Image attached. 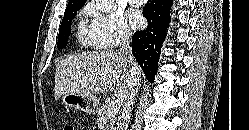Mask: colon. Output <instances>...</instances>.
Segmentation results:
<instances>
[{
    "instance_id": "1",
    "label": "colon",
    "mask_w": 249,
    "mask_h": 130,
    "mask_svg": "<svg viewBox=\"0 0 249 130\" xmlns=\"http://www.w3.org/2000/svg\"><path fill=\"white\" fill-rule=\"evenodd\" d=\"M63 130H76V126L73 123H67L63 127Z\"/></svg>"
}]
</instances>
